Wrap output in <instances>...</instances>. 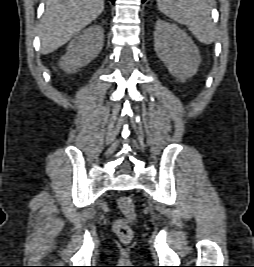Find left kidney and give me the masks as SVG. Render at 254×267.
Returning <instances> with one entry per match:
<instances>
[{"label": "left kidney", "instance_id": "obj_1", "mask_svg": "<svg viewBox=\"0 0 254 267\" xmlns=\"http://www.w3.org/2000/svg\"><path fill=\"white\" fill-rule=\"evenodd\" d=\"M154 47L169 72L181 82L197 73L201 63L199 50L176 25L158 19L154 30Z\"/></svg>", "mask_w": 254, "mask_h": 267}]
</instances>
